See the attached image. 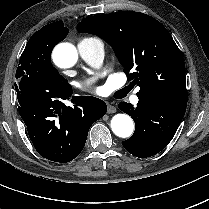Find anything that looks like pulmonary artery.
Returning <instances> with one entry per match:
<instances>
[{
	"label": "pulmonary artery",
	"instance_id": "obj_1",
	"mask_svg": "<svg viewBox=\"0 0 209 209\" xmlns=\"http://www.w3.org/2000/svg\"><path fill=\"white\" fill-rule=\"evenodd\" d=\"M78 53L82 60L98 68L101 66L104 59V46L98 39L88 38L80 41L77 45ZM139 89L137 88L130 96L129 99L132 104L137 105L140 99L137 95Z\"/></svg>",
	"mask_w": 209,
	"mask_h": 209
}]
</instances>
